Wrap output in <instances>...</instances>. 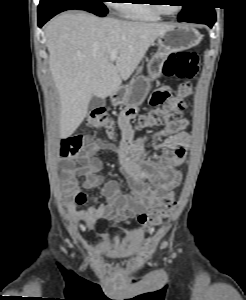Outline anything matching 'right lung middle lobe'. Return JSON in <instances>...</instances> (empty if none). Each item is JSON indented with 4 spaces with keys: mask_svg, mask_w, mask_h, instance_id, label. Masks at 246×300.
Here are the masks:
<instances>
[{
    "mask_svg": "<svg viewBox=\"0 0 246 300\" xmlns=\"http://www.w3.org/2000/svg\"><path fill=\"white\" fill-rule=\"evenodd\" d=\"M103 2L104 0H40L38 13L45 12L49 8L57 5H72L103 17L108 13V9Z\"/></svg>",
    "mask_w": 246,
    "mask_h": 300,
    "instance_id": "1",
    "label": "right lung middle lobe"
}]
</instances>
